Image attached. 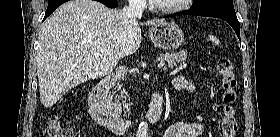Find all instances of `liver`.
Returning a JSON list of instances; mask_svg holds the SVG:
<instances>
[{"mask_svg": "<svg viewBox=\"0 0 280 137\" xmlns=\"http://www.w3.org/2000/svg\"><path fill=\"white\" fill-rule=\"evenodd\" d=\"M163 23L153 19L145 25ZM141 29L116 9L94 0L62 4L41 26L37 74L41 103L52 107L79 84L108 75L141 44ZM100 54V55H97Z\"/></svg>", "mask_w": 280, "mask_h": 137, "instance_id": "liver-1", "label": "liver"}]
</instances>
